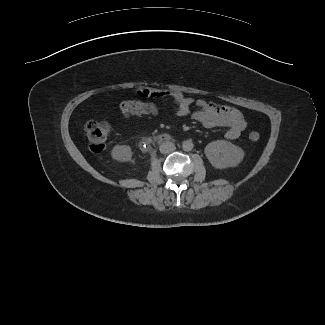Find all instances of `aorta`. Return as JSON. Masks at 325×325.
Listing matches in <instances>:
<instances>
[{
    "instance_id": "aorta-1",
    "label": "aorta",
    "mask_w": 325,
    "mask_h": 325,
    "mask_svg": "<svg viewBox=\"0 0 325 325\" xmlns=\"http://www.w3.org/2000/svg\"><path fill=\"white\" fill-rule=\"evenodd\" d=\"M182 148L184 151H191L193 149V143L191 140H186L182 144Z\"/></svg>"
}]
</instances>
